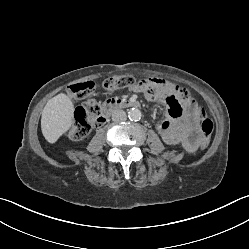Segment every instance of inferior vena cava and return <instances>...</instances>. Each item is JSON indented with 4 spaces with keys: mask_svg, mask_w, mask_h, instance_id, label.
I'll list each match as a JSON object with an SVG mask.
<instances>
[{
    "mask_svg": "<svg viewBox=\"0 0 249 249\" xmlns=\"http://www.w3.org/2000/svg\"><path fill=\"white\" fill-rule=\"evenodd\" d=\"M126 119H127V115H126L125 111H123V110H115L112 113V120L115 122L125 121Z\"/></svg>",
    "mask_w": 249,
    "mask_h": 249,
    "instance_id": "602c4592",
    "label": "inferior vena cava"
}]
</instances>
